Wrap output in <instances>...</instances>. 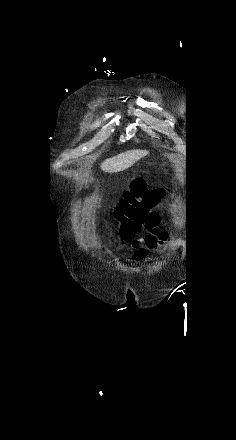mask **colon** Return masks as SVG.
I'll return each instance as SVG.
<instances>
[{
  "label": "colon",
  "instance_id": "obj_1",
  "mask_svg": "<svg viewBox=\"0 0 236 440\" xmlns=\"http://www.w3.org/2000/svg\"><path fill=\"white\" fill-rule=\"evenodd\" d=\"M162 196V191L148 189V179L136 178L120 201L117 219L121 222V236L130 239L145 220L146 214L155 206Z\"/></svg>",
  "mask_w": 236,
  "mask_h": 440
}]
</instances>
